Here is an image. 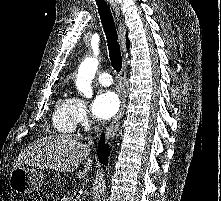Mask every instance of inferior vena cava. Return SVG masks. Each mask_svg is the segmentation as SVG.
<instances>
[{
	"label": "inferior vena cava",
	"mask_w": 221,
	"mask_h": 201,
	"mask_svg": "<svg viewBox=\"0 0 221 201\" xmlns=\"http://www.w3.org/2000/svg\"><path fill=\"white\" fill-rule=\"evenodd\" d=\"M88 145L89 146L92 145V140L88 141Z\"/></svg>",
	"instance_id": "1"
}]
</instances>
